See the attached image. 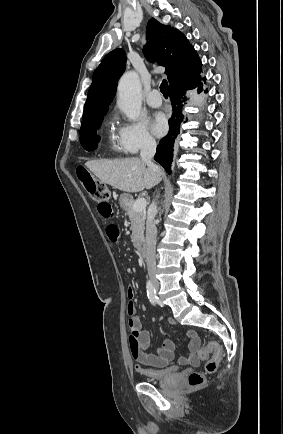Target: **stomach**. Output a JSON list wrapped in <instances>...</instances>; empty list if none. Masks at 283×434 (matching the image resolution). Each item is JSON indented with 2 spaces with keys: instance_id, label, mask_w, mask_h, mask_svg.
I'll list each match as a JSON object with an SVG mask.
<instances>
[{
  "instance_id": "1",
  "label": "stomach",
  "mask_w": 283,
  "mask_h": 434,
  "mask_svg": "<svg viewBox=\"0 0 283 434\" xmlns=\"http://www.w3.org/2000/svg\"><path fill=\"white\" fill-rule=\"evenodd\" d=\"M133 199L130 194L123 193L119 197V204L122 208H126L132 203Z\"/></svg>"
}]
</instances>
